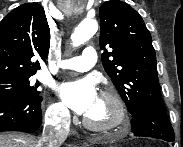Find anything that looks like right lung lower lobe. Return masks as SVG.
Instances as JSON below:
<instances>
[{
  "mask_svg": "<svg viewBox=\"0 0 183 147\" xmlns=\"http://www.w3.org/2000/svg\"><path fill=\"white\" fill-rule=\"evenodd\" d=\"M41 96L0 97V132L32 133L41 125Z\"/></svg>",
  "mask_w": 183,
  "mask_h": 147,
  "instance_id": "obj_1",
  "label": "right lung lower lobe"
}]
</instances>
